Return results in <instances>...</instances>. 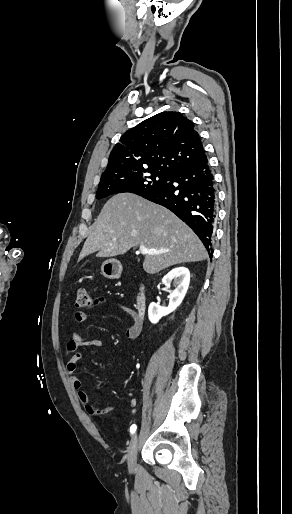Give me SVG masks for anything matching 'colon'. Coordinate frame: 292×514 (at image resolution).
Segmentation results:
<instances>
[{"mask_svg":"<svg viewBox=\"0 0 292 514\" xmlns=\"http://www.w3.org/2000/svg\"><path fill=\"white\" fill-rule=\"evenodd\" d=\"M89 294L85 289L77 291L76 295V310H88L90 307Z\"/></svg>","mask_w":292,"mask_h":514,"instance_id":"obj_1","label":"colon"}]
</instances>
